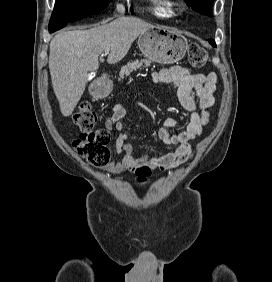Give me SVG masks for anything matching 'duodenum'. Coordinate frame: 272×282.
I'll return each instance as SVG.
<instances>
[{"label":"duodenum","instance_id":"obj_1","mask_svg":"<svg viewBox=\"0 0 272 282\" xmlns=\"http://www.w3.org/2000/svg\"><path fill=\"white\" fill-rule=\"evenodd\" d=\"M108 84L109 78L104 76L91 85L90 92L96 100L103 99L106 96Z\"/></svg>","mask_w":272,"mask_h":282}]
</instances>
